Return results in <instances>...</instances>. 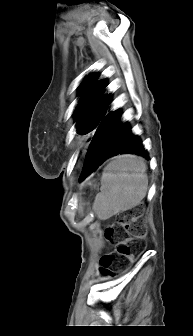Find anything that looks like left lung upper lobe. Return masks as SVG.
I'll list each match as a JSON object with an SVG mask.
<instances>
[{"mask_svg": "<svg viewBox=\"0 0 193 336\" xmlns=\"http://www.w3.org/2000/svg\"><path fill=\"white\" fill-rule=\"evenodd\" d=\"M97 76H89L83 83L81 97L75 115L80 119L77 132L86 134L96 129L107 113L110 99L109 95H103L106 80L96 81Z\"/></svg>", "mask_w": 193, "mask_h": 336, "instance_id": "left-lung-upper-lobe-1", "label": "left lung upper lobe"}]
</instances>
